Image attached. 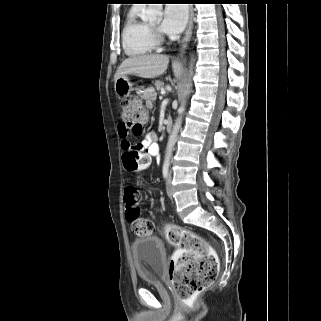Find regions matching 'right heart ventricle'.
Instances as JSON below:
<instances>
[{
  "label": "right heart ventricle",
  "mask_w": 321,
  "mask_h": 321,
  "mask_svg": "<svg viewBox=\"0 0 321 321\" xmlns=\"http://www.w3.org/2000/svg\"><path fill=\"white\" fill-rule=\"evenodd\" d=\"M142 10V5L132 6L122 29V46L125 53L131 57L149 54L157 45L153 39L150 25L139 16Z\"/></svg>",
  "instance_id": "right-heart-ventricle-1"
}]
</instances>
